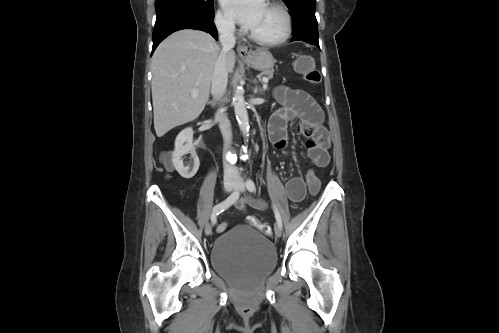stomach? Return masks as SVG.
<instances>
[{
    "instance_id": "1",
    "label": "stomach",
    "mask_w": 499,
    "mask_h": 333,
    "mask_svg": "<svg viewBox=\"0 0 499 333\" xmlns=\"http://www.w3.org/2000/svg\"><path fill=\"white\" fill-rule=\"evenodd\" d=\"M244 62L258 71L271 70L275 64L273 55L265 49L252 51L248 56L243 57Z\"/></svg>"
}]
</instances>
